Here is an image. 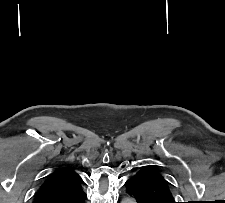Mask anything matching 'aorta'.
<instances>
[{"instance_id":"aorta-1","label":"aorta","mask_w":225,"mask_h":203,"mask_svg":"<svg viewBox=\"0 0 225 203\" xmlns=\"http://www.w3.org/2000/svg\"><path fill=\"white\" fill-rule=\"evenodd\" d=\"M122 203H134V202L133 200L127 198V199H124Z\"/></svg>"}]
</instances>
